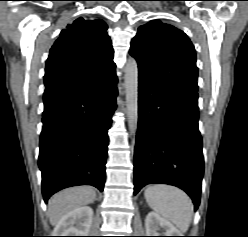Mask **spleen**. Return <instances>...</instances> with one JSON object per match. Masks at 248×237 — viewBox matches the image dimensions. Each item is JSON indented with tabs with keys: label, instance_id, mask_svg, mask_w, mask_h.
Masks as SVG:
<instances>
[{
	"label": "spleen",
	"instance_id": "1",
	"mask_svg": "<svg viewBox=\"0 0 248 237\" xmlns=\"http://www.w3.org/2000/svg\"><path fill=\"white\" fill-rule=\"evenodd\" d=\"M148 205L164 219L172 222L181 232L189 228L193 204L182 190L168 185H152L144 192Z\"/></svg>",
	"mask_w": 248,
	"mask_h": 237
}]
</instances>
